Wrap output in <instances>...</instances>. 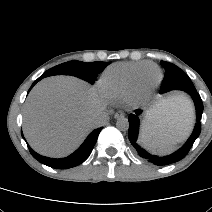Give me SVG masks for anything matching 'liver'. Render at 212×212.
Segmentation results:
<instances>
[{"mask_svg":"<svg viewBox=\"0 0 212 212\" xmlns=\"http://www.w3.org/2000/svg\"><path fill=\"white\" fill-rule=\"evenodd\" d=\"M104 109L105 103L94 87L73 77H49L28 96L23 111L24 134L40 154L64 157L95 128L92 119ZM192 120V111L172 96L148 112L145 128L182 140L190 131Z\"/></svg>","mask_w":212,"mask_h":212,"instance_id":"6515ba94","label":"liver"}]
</instances>
